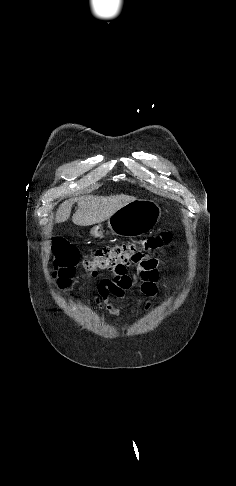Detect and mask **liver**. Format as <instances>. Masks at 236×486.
<instances>
[{"mask_svg":"<svg viewBox=\"0 0 236 486\" xmlns=\"http://www.w3.org/2000/svg\"><path fill=\"white\" fill-rule=\"evenodd\" d=\"M129 195L93 196L86 195L77 199L78 209L72 221L78 226H90L108 220L118 209L134 201ZM73 200L63 202L56 213V222H65L71 213Z\"/></svg>","mask_w":236,"mask_h":486,"instance_id":"liver-1","label":"liver"}]
</instances>
